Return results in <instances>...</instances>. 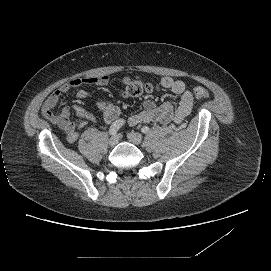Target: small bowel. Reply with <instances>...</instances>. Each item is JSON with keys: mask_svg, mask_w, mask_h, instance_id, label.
<instances>
[{"mask_svg": "<svg viewBox=\"0 0 271 271\" xmlns=\"http://www.w3.org/2000/svg\"><path fill=\"white\" fill-rule=\"evenodd\" d=\"M109 82V77L106 75L98 77L75 78L62 84L59 88L53 91L45 100L42 107V115L51 123L60 127L66 134V139L69 142H74L78 139L79 131L87 125L88 122H94L96 117L86 111L79 105H74L72 109L68 106H63L58 115H54L53 111L59 106L62 95L70 93L72 90L77 89L76 97L78 99H85L88 97L89 92L81 89L84 85L104 86ZM124 88L121 93L124 97H129L127 93V86L130 83L128 77L122 79ZM161 85L170 90L173 94L179 96L180 100L177 106L170 102H164L157 105L152 100H145L143 102V109L139 113L133 114L129 117L128 123L135 126L141 123H181L192 111L194 106V95L191 90L186 88L184 82L174 80L171 77H163ZM98 109L103 114L104 120L111 123L116 120L120 115V108L107 101H101L97 104ZM80 118L78 121L71 119V114ZM115 122V121H114Z\"/></svg>", "mask_w": 271, "mask_h": 271, "instance_id": "small-bowel-1", "label": "small bowel"}]
</instances>
